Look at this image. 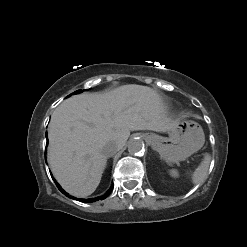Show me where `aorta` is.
Here are the masks:
<instances>
[{"instance_id": "aorta-1", "label": "aorta", "mask_w": 247, "mask_h": 247, "mask_svg": "<svg viewBox=\"0 0 247 247\" xmlns=\"http://www.w3.org/2000/svg\"><path fill=\"white\" fill-rule=\"evenodd\" d=\"M144 149V143L139 138H133L128 143V151L131 155H138Z\"/></svg>"}]
</instances>
